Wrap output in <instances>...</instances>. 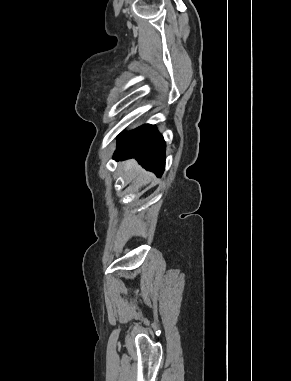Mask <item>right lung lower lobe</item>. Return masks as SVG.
Listing matches in <instances>:
<instances>
[{
    "label": "right lung lower lobe",
    "mask_w": 291,
    "mask_h": 381,
    "mask_svg": "<svg viewBox=\"0 0 291 381\" xmlns=\"http://www.w3.org/2000/svg\"><path fill=\"white\" fill-rule=\"evenodd\" d=\"M113 158L117 161L136 158L145 169L161 176L165 168V141L154 125L145 124L120 138Z\"/></svg>",
    "instance_id": "98d812e1"
}]
</instances>
